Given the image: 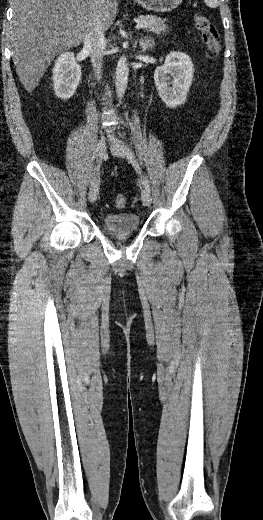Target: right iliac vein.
<instances>
[{
    "mask_svg": "<svg viewBox=\"0 0 263 520\" xmlns=\"http://www.w3.org/2000/svg\"><path fill=\"white\" fill-rule=\"evenodd\" d=\"M106 153V143L105 139L102 137L97 144L96 157L98 162H101ZM100 181L98 177H95L91 182L90 190H89V201L91 203L95 202L99 193Z\"/></svg>",
    "mask_w": 263,
    "mask_h": 520,
    "instance_id": "1",
    "label": "right iliac vein"
}]
</instances>
